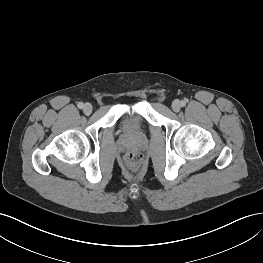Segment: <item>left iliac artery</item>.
Returning a JSON list of instances; mask_svg holds the SVG:
<instances>
[{
  "mask_svg": "<svg viewBox=\"0 0 263 263\" xmlns=\"http://www.w3.org/2000/svg\"><path fill=\"white\" fill-rule=\"evenodd\" d=\"M187 102H188V100L184 99L183 101H181V106H185Z\"/></svg>",
  "mask_w": 263,
  "mask_h": 263,
  "instance_id": "obj_1",
  "label": "left iliac artery"
}]
</instances>
